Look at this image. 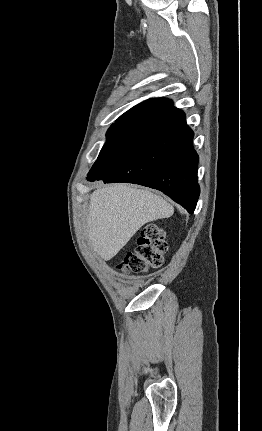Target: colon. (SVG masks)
Here are the masks:
<instances>
[{
    "label": "colon",
    "mask_w": 262,
    "mask_h": 431,
    "mask_svg": "<svg viewBox=\"0 0 262 431\" xmlns=\"http://www.w3.org/2000/svg\"><path fill=\"white\" fill-rule=\"evenodd\" d=\"M166 249L162 228L157 224L146 225L137 236L134 249L123 256L117 268L126 274H140L148 268H158L163 263Z\"/></svg>",
    "instance_id": "obj_1"
}]
</instances>
